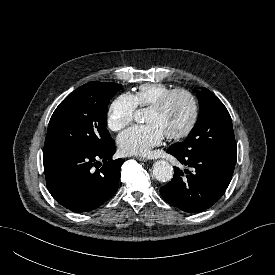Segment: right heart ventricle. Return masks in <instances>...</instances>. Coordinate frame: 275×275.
<instances>
[{
	"label": "right heart ventricle",
	"mask_w": 275,
	"mask_h": 275,
	"mask_svg": "<svg viewBox=\"0 0 275 275\" xmlns=\"http://www.w3.org/2000/svg\"><path fill=\"white\" fill-rule=\"evenodd\" d=\"M171 90L168 86L162 83H145L140 85L131 94L137 107H150L163 94Z\"/></svg>",
	"instance_id": "e07e8e85"
}]
</instances>
